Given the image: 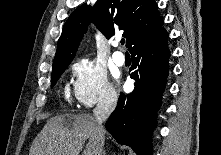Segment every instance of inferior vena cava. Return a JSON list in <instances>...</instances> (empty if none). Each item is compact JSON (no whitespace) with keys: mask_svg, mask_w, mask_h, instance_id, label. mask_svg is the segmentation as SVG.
Listing matches in <instances>:
<instances>
[{"mask_svg":"<svg viewBox=\"0 0 221 155\" xmlns=\"http://www.w3.org/2000/svg\"><path fill=\"white\" fill-rule=\"evenodd\" d=\"M117 104V94L114 91L107 92L103 98L98 102L97 106L93 110L94 118L97 124L98 140H99V153L98 155H105L103 151L104 147V128L103 122H105L114 110Z\"/></svg>","mask_w":221,"mask_h":155,"instance_id":"inferior-vena-cava-1","label":"inferior vena cava"}]
</instances>
